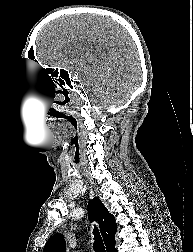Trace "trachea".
I'll return each instance as SVG.
<instances>
[{"label": "trachea", "mask_w": 193, "mask_h": 252, "mask_svg": "<svg viewBox=\"0 0 193 252\" xmlns=\"http://www.w3.org/2000/svg\"><path fill=\"white\" fill-rule=\"evenodd\" d=\"M93 234H94L93 248L95 252H106L105 246H104V243H103V240H102V237L100 235L98 228L96 227L94 228Z\"/></svg>", "instance_id": "1"}]
</instances>
